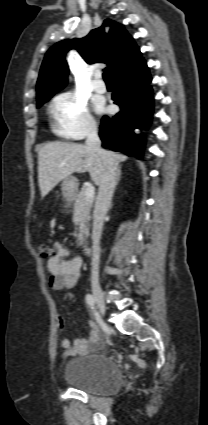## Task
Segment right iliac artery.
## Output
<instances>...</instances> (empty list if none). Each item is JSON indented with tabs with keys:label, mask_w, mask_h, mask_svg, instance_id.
<instances>
[{
	"label": "right iliac artery",
	"mask_w": 208,
	"mask_h": 425,
	"mask_svg": "<svg viewBox=\"0 0 208 425\" xmlns=\"http://www.w3.org/2000/svg\"><path fill=\"white\" fill-rule=\"evenodd\" d=\"M86 303L92 308H95V299L93 297V295L91 294H87L86 295Z\"/></svg>",
	"instance_id": "1"
}]
</instances>
